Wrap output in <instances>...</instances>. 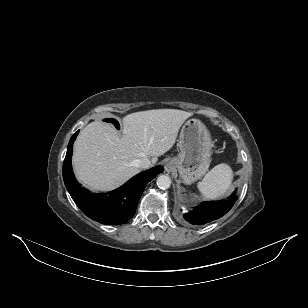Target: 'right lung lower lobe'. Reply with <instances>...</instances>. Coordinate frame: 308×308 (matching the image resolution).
Instances as JSON below:
<instances>
[{"label":"right lung lower lobe","instance_id":"98d812e1","mask_svg":"<svg viewBox=\"0 0 308 308\" xmlns=\"http://www.w3.org/2000/svg\"><path fill=\"white\" fill-rule=\"evenodd\" d=\"M78 132L69 141L63 164V179L68 192L76 205L92 220L109 225L126 223L135 214L144 186L161 173L163 167L156 166L144 171L114 191L90 193L76 181L72 171V148Z\"/></svg>","mask_w":308,"mask_h":308}]
</instances>
